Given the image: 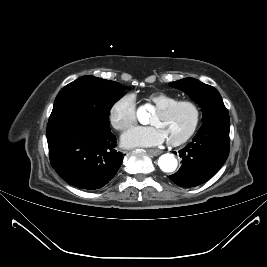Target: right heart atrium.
Returning <instances> with one entry per match:
<instances>
[{
  "label": "right heart atrium",
  "instance_id": "obj_1",
  "mask_svg": "<svg viewBox=\"0 0 267 267\" xmlns=\"http://www.w3.org/2000/svg\"><path fill=\"white\" fill-rule=\"evenodd\" d=\"M109 120L118 131H125L136 123L137 105L133 94H123L115 100L109 109Z\"/></svg>",
  "mask_w": 267,
  "mask_h": 267
}]
</instances>
